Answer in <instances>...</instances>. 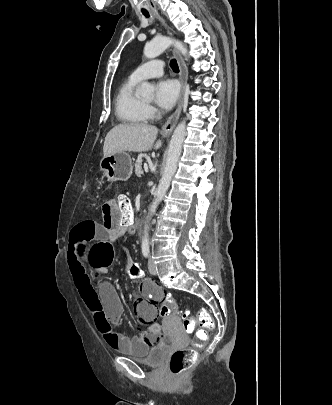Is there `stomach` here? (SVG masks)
<instances>
[{
  "label": "stomach",
  "mask_w": 332,
  "mask_h": 405,
  "mask_svg": "<svg viewBox=\"0 0 332 405\" xmlns=\"http://www.w3.org/2000/svg\"><path fill=\"white\" fill-rule=\"evenodd\" d=\"M100 168L110 181L127 180L133 171L131 157L124 151L103 157Z\"/></svg>",
  "instance_id": "0dacf381"
}]
</instances>
